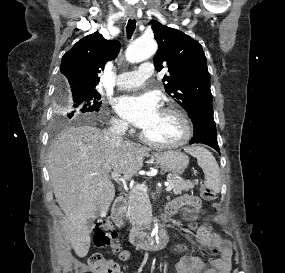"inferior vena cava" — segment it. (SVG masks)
Segmentation results:
<instances>
[{
    "label": "inferior vena cava",
    "mask_w": 285,
    "mask_h": 273,
    "mask_svg": "<svg viewBox=\"0 0 285 273\" xmlns=\"http://www.w3.org/2000/svg\"><path fill=\"white\" fill-rule=\"evenodd\" d=\"M127 130V123L121 120L112 121V126L106 131V134L116 143L123 141V136Z\"/></svg>",
    "instance_id": "1"
}]
</instances>
